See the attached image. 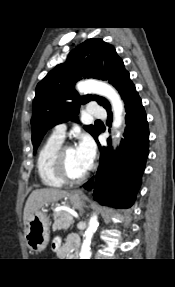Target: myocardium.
I'll list each match as a JSON object with an SVG mask.
<instances>
[{"mask_svg":"<svg viewBox=\"0 0 175 287\" xmlns=\"http://www.w3.org/2000/svg\"><path fill=\"white\" fill-rule=\"evenodd\" d=\"M74 148L72 144H61L57 151L55 152L53 159V167L55 174L59 179L65 183L76 184L80 183L87 178L90 172L88 168L84 173L77 177H72L68 174L65 166V153L68 149Z\"/></svg>","mask_w":175,"mask_h":287,"instance_id":"obj_1","label":"myocardium"}]
</instances>
